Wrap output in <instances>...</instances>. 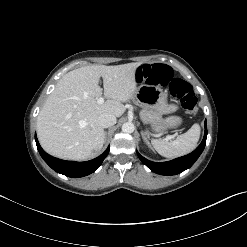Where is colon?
Returning <instances> with one entry per match:
<instances>
[{"label": "colon", "mask_w": 247, "mask_h": 247, "mask_svg": "<svg viewBox=\"0 0 247 247\" xmlns=\"http://www.w3.org/2000/svg\"><path fill=\"white\" fill-rule=\"evenodd\" d=\"M136 77L140 82L168 86L171 95L181 103L186 113L197 112V97L191 85L174 77L171 67L160 63L144 64L137 68Z\"/></svg>", "instance_id": "1"}]
</instances>
